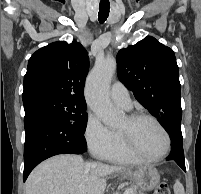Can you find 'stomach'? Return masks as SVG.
<instances>
[{
    "label": "stomach",
    "instance_id": "0dacf381",
    "mask_svg": "<svg viewBox=\"0 0 201 194\" xmlns=\"http://www.w3.org/2000/svg\"><path fill=\"white\" fill-rule=\"evenodd\" d=\"M123 175L133 181L136 187L142 191L154 189L160 181L158 171L149 165L130 169L125 171Z\"/></svg>",
    "mask_w": 201,
    "mask_h": 194
}]
</instances>
